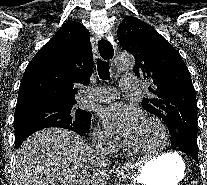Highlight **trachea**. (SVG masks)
<instances>
[{"label":"trachea","instance_id":"3493384b","mask_svg":"<svg viewBox=\"0 0 207 185\" xmlns=\"http://www.w3.org/2000/svg\"><path fill=\"white\" fill-rule=\"evenodd\" d=\"M98 49L103 58V60L98 59L97 61L98 75L102 80H109V63L106 60L113 57V47L107 40L102 39L98 42Z\"/></svg>","mask_w":207,"mask_h":185}]
</instances>
